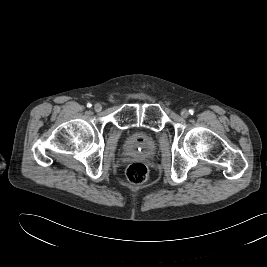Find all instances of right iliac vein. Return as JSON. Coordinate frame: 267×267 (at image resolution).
<instances>
[{
  "label": "right iliac vein",
  "instance_id": "right-iliac-vein-1",
  "mask_svg": "<svg viewBox=\"0 0 267 267\" xmlns=\"http://www.w3.org/2000/svg\"><path fill=\"white\" fill-rule=\"evenodd\" d=\"M94 110H95L96 112H100V111L102 110V105H101L100 103H96V104L94 105Z\"/></svg>",
  "mask_w": 267,
  "mask_h": 267
}]
</instances>
